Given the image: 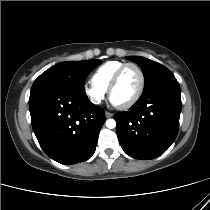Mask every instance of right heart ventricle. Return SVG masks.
I'll use <instances>...</instances> for the list:
<instances>
[{
  "label": "right heart ventricle",
  "mask_w": 210,
  "mask_h": 210,
  "mask_svg": "<svg viewBox=\"0 0 210 210\" xmlns=\"http://www.w3.org/2000/svg\"><path fill=\"white\" fill-rule=\"evenodd\" d=\"M124 63L125 62L118 60H111L103 63L92 74V83L107 91L115 72Z\"/></svg>",
  "instance_id": "1"
}]
</instances>
